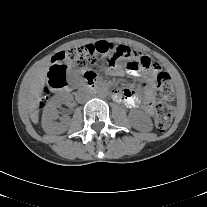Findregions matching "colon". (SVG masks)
<instances>
[{
  "instance_id": "1",
  "label": "colon",
  "mask_w": 207,
  "mask_h": 207,
  "mask_svg": "<svg viewBox=\"0 0 207 207\" xmlns=\"http://www.w3.org/2000/svg\"><path fill=\"white\" fill-rule=\"evenodd\" d=\"M108 68L115 67L118 61H125L129 70H140L147 76H156L157 105L155 126L158 131L165 132L173 118V108L169 102L174 99V88L171 77L166 72H159L160 67L156 61L148 58L127 46L113 47L106 42H98L82 47L72 48L58 52L53 57L54 69L50 74V83L53 87L61 88L66 84L64 65L87 67L98 65L102 62Z\"/></svg>"
}]
</instances>
